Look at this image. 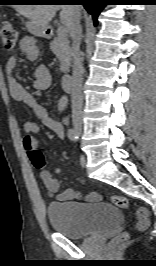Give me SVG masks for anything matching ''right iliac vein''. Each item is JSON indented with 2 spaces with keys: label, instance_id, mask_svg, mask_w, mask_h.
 <instances>
[{
  "label": "right iliac vein",
  "instance_id": "obj_1",
  "mask_svg": "<svg viewBox=\"0 0 156 266\" xmlns=\"http://www.w3.org/2000/svg\"><path fill=\"white\" fill-rule=\"evenodd\" d=\"M74 128L78 135L82 132V124L79 121L74 122Z\"/></svg>",
  "mask_w": 156,
  "mask_h": 266
}]
</instances>
